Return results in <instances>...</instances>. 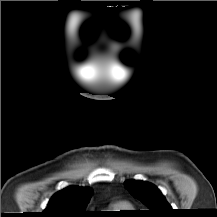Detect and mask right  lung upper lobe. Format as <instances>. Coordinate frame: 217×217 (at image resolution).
<instances>
[{
	"label": "right lung upper lobe",
	"mask_w": 217,
	"mask_h": 217,
	"mask_svg": "<svg viewBox=\"0 0 217 217\" xmlns=\"http://www.w3.org/2000/svg\"><path fill=\"white\" fill-rule=\"evenodd\" d=\"M93 190L90 187L70 186L55 193L41 217H90L85 211Z\"/></svg>",
	"instance_id": "obj_1"
}]
</instances>
